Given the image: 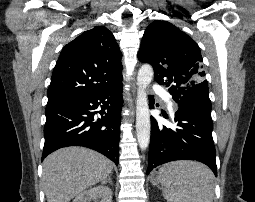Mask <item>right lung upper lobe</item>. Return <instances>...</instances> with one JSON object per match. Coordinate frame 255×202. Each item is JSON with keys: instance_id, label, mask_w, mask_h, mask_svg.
Listing matches in <instances>:
<instances>
[{"instance_id": "right-lung-upper-lobe-1", "label": "right lung upper lobe", "mask_w": 255, "mask_h": 202, "mask_svg": "<svg viewBox=\"0 0 255 202\" xmlns=\"http://www.w3.org/2000/svg\"><path fill=\"white\" fill-rule=\"evenodd\" d=\"M122 53L104 26L85 31L62 50L48 89V104L111 89L122 81Z\"/></svg>"}]
</instances>
